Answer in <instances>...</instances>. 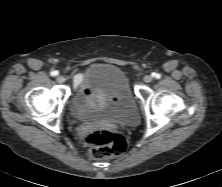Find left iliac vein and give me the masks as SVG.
Here are the masks:
<instances>
[{
	"mask_svg": "<svg viewBox=\"0 0 222 187\" xmlns=\"http://www.w3.org/2000/svg\"><path fill=\"white\" fill-rule=\"evenodd\" d=\"M144 82L150 83L153 80V77L151 75H146L143 78Z\"/></svg>",
	"mask_w": 222,
	"mask_h": 187,
	"instance_id": "4c4485c4",
	"label": "left iliac vein"
}]
</instances>
